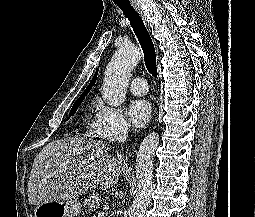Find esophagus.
Segmentation results:
<instances>
[{
  "instance_id": "1",
  "label": "esophagus",
  "mask_w": 255,
  "mask_h": 217,
  "mask_svg": "<svg viewBox=\"0 0 255 217\" xmlns=\"http://www.w3.org/2000/svg\"><path fill=\"white\" fill-rule=\"evenodd\" d=\"M132 6H133V8L137 11V13L140 15V17L142 18V20H143V22L145 23L146 27L149 29V26H148V23H147V20H146V15H145V13L143 12L140 3L137 2V1H132ZM149 30H150V29H149Z\"/></svg>"
}]
</instances>
